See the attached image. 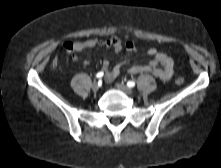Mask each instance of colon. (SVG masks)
Returning a JSON list of instances; mask_svg holds the SVG:
<instances>
[{
  "mask_svg": "<svg viewBox=\"0 0 221 168\" xmlns=\"http://www.w3.org/2000/svg\"><path fill=\"white\" fill-rule=\"evenodd\" d=\"M121 37H122L123 40L128 41V40L131 39L132 34H131L130 31H123L122 34H121ZM53 64L56 65V64H57V61H54ZM183 82H184V79L181 78V77L176 79V83H177L178 85L182 84Z\"/></svg>",
  "mask_w": 221,
  "mask_h": 168,
  "instance_id": "1",
  "label": "colon"
}]
</instances>
